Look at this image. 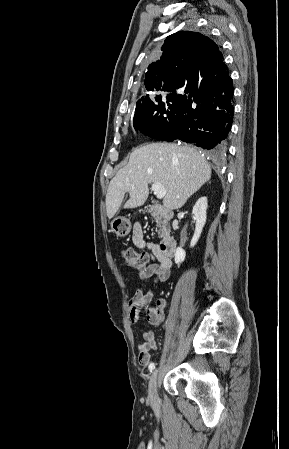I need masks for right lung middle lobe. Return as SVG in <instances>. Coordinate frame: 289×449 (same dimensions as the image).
Returning a JSON list of instances; mask_svg holds the SVG:
<instances>
[{"label": "right lung middle lobe", "instance_id": "dd1d6c3e", "mask_svg": "<svg viewBox=\"0 0 289 449\" xmlns=\"http://www.w3.org/2000/svg\"><path fill=\"white\" fill-rule=\"evenodd\" d=\"M165 91L169 92L165 101L161 95H156L137 102L133 119L136 131L153 138L172 123L179 104V95L175 92L176 88Z\"/></svg>", "mask_w": 289, "mask_h": 449}]
</instances>
